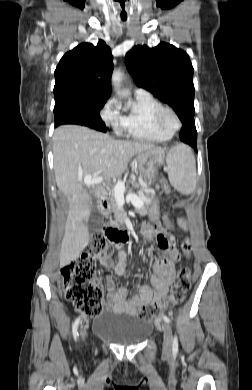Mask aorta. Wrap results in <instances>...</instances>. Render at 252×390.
Masks as SVG:
<instances>
[{"mask_svg":"<svg viewBox=\"0 0 252 390\" xmlns=\"http://www.w3.org/2000/svg\"><path fill=\"white\" fill-rule=\"evenodd\" d=\"M122 79H123V73L120 71V69L115 70L112 75V84L114 86V89L119 95H120V85Z\"/></svg>","mask_w":252,"mask_h":390,"instance_id":"aorta-1","label":"aorta"}]
</instances>
